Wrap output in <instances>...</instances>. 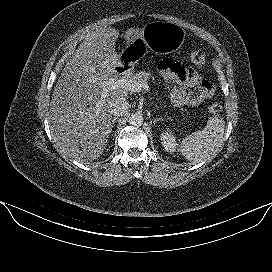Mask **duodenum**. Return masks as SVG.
<instances>
[{
    "mask_svg": "<svg viewBox=\"0 0 272 272\" xmlns=\"http://www.w3.org/2000/svg\"><path fill=\"white\" fill-rule=\"evenodd\" d=\"M129 72H130V69L126 65H120V66L116 67V69H115V74L118 77L126 76Z\"/></svg>",
    "mask_w": 272,
    "mask_h": 272,
    "instance_id": "duodenum-1",
    "label": "duodenum"
}]
</instances>
